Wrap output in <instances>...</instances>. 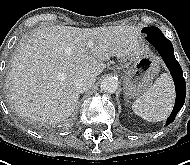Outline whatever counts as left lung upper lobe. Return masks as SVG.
Here are the masks:
<instances>
[{"label":"left lung upper lobe","instance_id":"left-lung-upper-lobe-1","mask_svg":"<svg viewBox=\"0 0 190 165\" xmlns=\"http://www.w3.org/2000/svg\"><path fill=\"white\" fill-rule=\"evenodd\" d=\"M142 32L147 35V40L153 38L154 36L163 34L157 27H145L142 29Z\"/></svg>","mask_w":190,"mask_h":165}]
</instances>
